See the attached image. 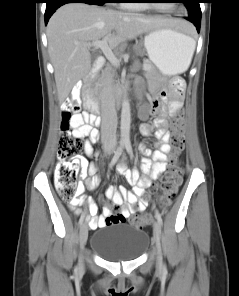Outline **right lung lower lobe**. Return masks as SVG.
I'll return each mask as SVG.
<instances>
[{
	"label": "right lung lower lobe",
	"mask_w": 239,
	"mask_h": 296,
	"mask_svg": "<svg viewBox=\"0 0 239 296\" xmlns=\"http://www.w3.org/2000/svg\"><path fill=\"white\" fill-rule=\"evenodd\" d=\"M66 3H87L94 4L88 0H46V12H45V24H47L51 15L55 12L57 8Z\"/></svg>",
	"instance_id": "obj_1"
}]
</instances>
